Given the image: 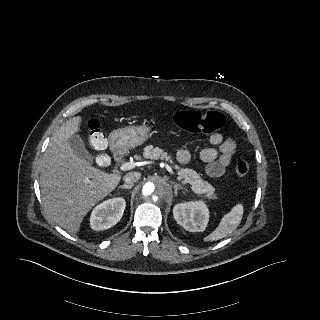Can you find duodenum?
<instances>
[{
  "label": "duodenum",
  "instance_id": "1",
  "mask_svg": "<svg viewBox=\"0 0 320 320\" xmlns=\"http://www.w3.org/2000/svg\"><path fill=\"white\" fill-rule=\"evenodd\" d=\"M113 148V153H114V157L116 160H120L123 157V150L121 149V147L117 144H113L112 145Z\"/></svg>",
  "mask_w": 320,
  "mask_h": 320
}]
</instances>
